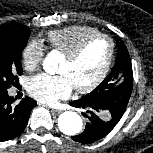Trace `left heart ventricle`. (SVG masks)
I'll list each match as a JSON object with an SVG mask.
<instances>
[{
	"label": "left heart ventricle",
	"instance_id": "1",
	"mask_svg": "<svg viewBox=\"0 0 153 153\" xmlns=\"http://www.w3.org/2000/svg\"><path fill=\"white\" fill-rule=\"evenodd\" d=\"M109 54V43L97 39L90 43L80 57L69 62L65 57L58 72L66 75L73 87H83L91 83L101 72Z\"/></svg>",
	"mask_w": 153,
	"mask_h": 153
}]
</instances>
